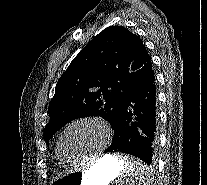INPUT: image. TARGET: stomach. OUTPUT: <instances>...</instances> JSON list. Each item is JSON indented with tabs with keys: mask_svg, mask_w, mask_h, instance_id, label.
Returning <instances> with one entry per match:
<instances>
[{
	"mask_svg": "<svg viewBox=\"0 0 207 185\" xmlns=\"http://www.w3.org/2000/svg\"><path fill=\"white\" fill-rule=\"evenodd\" d=\"M123 168L117 155H104L83 171L55 178L52 185H109L121 175Z\"/></svg>",
	"mask_w": 207,
	"mask_h": 185,
	"instance_id": "1",
	"label": "stomach"
}]
</instances>
